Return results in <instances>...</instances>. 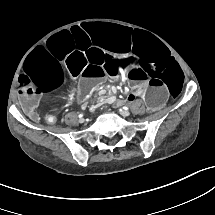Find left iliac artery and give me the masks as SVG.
I'll use <instances>...</instances> for the list:
<instances>
[{"label": "left iliac artery", "instance_id": "obj_1", "mask_svg": "<svg viewBox=\"0 0 215 215\" xmlns=\"http://www.w3.org/2000/svg\"><path fill=\"white\" fill-rule=\"evenodd\" d=\"M123 109L128 110L129 108L127 106H124Z\"/></svg>", "mask_w": 215, "mask_h": 215}]
</instances>
